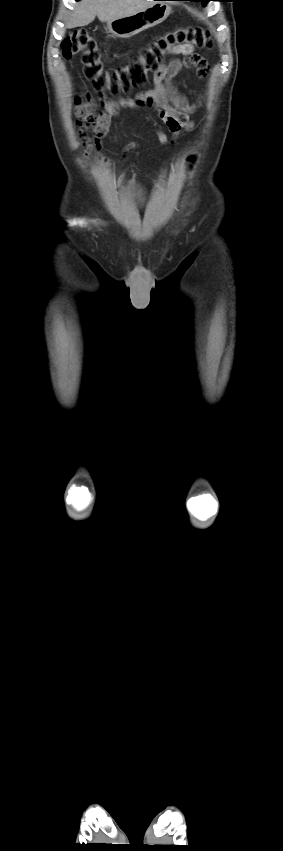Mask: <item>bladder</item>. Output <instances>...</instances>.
Listing matches in <instances>:
<instances>
[{
    "label": "bladder",
    "mask_w": 283,
    "mask_h": 851,
    "mask_svg": "<svg viewBox=\"0 0 283 851\" xmlns=\"http://www.w3.org/2000/svg\"><path fill=\"white\" fill-rule=\"evenodd\" d=\"M126 191L130 195L132 199L137 202H142L144 198V193L142 188L135 182H128L126 184Z\"/></svg>",
    "instance_id": "obj_1"
}]
</instances>
